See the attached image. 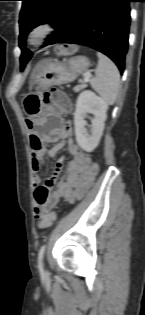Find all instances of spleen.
Returning a JSON list of instances; mask_svg holds the SVG:
<instances>
[{
	"label": "spleen",
	"instance_id": "obj_1",
	"mask_svg": "<svg viewBox=\"0 0 145 315\" xmlns=\"http://www.w3.org/2000/svg\"><path fill=\"white\" fill-rule=\"evenodd\" d=\"M95 70L96 77L90 80L91 87L102 97L107 104H113L120 89V73L116 65L102 53Z\"/></svg>",
	"mask_w": 145,
	"mask_h": 315
}]
</instances>
